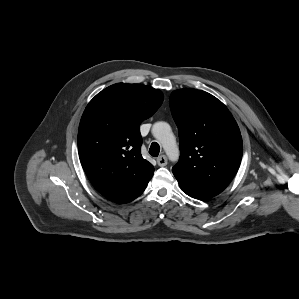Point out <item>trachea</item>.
Instances as JSON below:
<instances>
[{
	"label": "trachea",
	"mask_w": 299,
	"mask_h": 299,
	"mask_svg": "<svg viewBox=\"0 0 299 299\" xmlns=\"http://www.w3.org/2000/svg\"><path fill=\"white\" fill-rule=\"evenodd\" d=\"M159 152H160L159 144L156 142H153L150 146L149 154L153 157H157L159 155Z\"/></svg>",
	"instance_id": "1"
}]
</instances>
